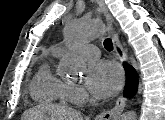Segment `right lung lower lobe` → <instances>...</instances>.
<instances>
[{
	"label": "right lung lower lobe",
	"mask_w": 165,
	"mask_h": 120,
	"mask_svg": "<svg viewBox=\"0 0 165 120\" xmlns=\"http://www.w3.org/2000/svg\"><path fill=\"white\" fill-rule=\"evenodd\" d=\"M126 70V85H125V96H133L138 88V76L134 69L124 64Z\"/></svg>",
	"instance_id": "1"
}]
</instances>
